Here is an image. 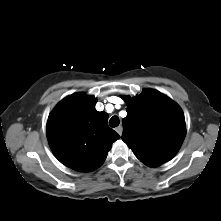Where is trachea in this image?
<instances>
[{"instance_id": "trachea-1", "label": "trachea", "mask_w": 221, "mask_h": 221, "mask_svg": "<svg viewBox=\"0 0 221 221\" xmlns=\"http://www.w3.org/2000/svg\"><path fill=\"white\" fill-rule=\"evenodd\" d=\"M120 121L119 118L117 116H113L110 120H109V125L110 127H117L119 125Z\"/></svg>"}]
</instances>
